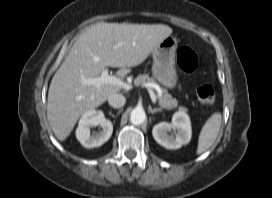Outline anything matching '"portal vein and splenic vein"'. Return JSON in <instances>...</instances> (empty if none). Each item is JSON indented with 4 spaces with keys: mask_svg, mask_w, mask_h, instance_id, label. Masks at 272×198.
<instances>
[{
    "mask_svg": "<svg viewBox=\"0 0 272 198\" xmlns=\"http://www.w3.org/2000/svg\"><path fill=\"white\" fill-rule=\"evenodd\" d=\"M81 83L83 85H94L97 88L101 87L104 84H110V85H115L120 88H123L124 90L132 89L131 84L123 82L121 79H119L116 76L109 75L108 69L103 70L101 75L95 78L82 77ZM149 94H150L152 102L155 104L157 101L155 93L153 92V90L149 89Z\"/></svg>",
    "mask_w": 272,
    "mask_h": 198,
    "instance_id": "1",
    "label": "portal vein and splenic vein"
}]
</instances>
